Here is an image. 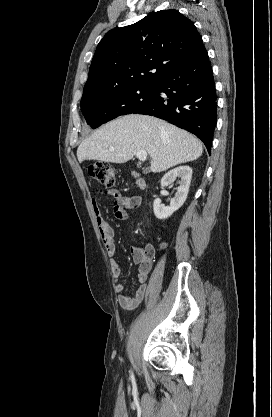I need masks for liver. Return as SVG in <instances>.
Segmentation results:
<instances>
[{"mask_svg":"<svg viewBox=\"0 0 272 417\" xmlns=\"http://www.w3.org/2000/svg\"><path fill=\"white\" fill-rule=\"evenodd\" d=\"M140 150L149 154L150 169L158 173L198 159L203 146L199 139L166 121L130 114L106 123L84 139L77 158L80 163L98 160L121 164Z\"/></svg>","mask_w":272,"mask_h":417,"instance_id":"1","label":"liver"}]
</instances>
